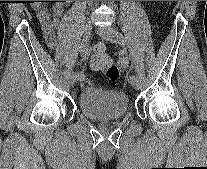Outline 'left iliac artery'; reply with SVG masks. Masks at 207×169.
I'll list each match as a JSON object with an SVG mask.
<instances>
[{
	"label": "left iliac artery",
	"mask_w": 207,
	"mask_h": 169,
	"mask_svg": "<svg viewBox=\"0 0 207 169\" xmlns=\"http://www.w3.org/2000/svg\"><path fill=\"white\" fill-rule=\"evenodd\" d=\"M127 54V49H122V53H119V58L118 59V64H119V68H128L129 64H128V57L126 56ZM131 69H125V74H131ZM137 78V76L135 74H132L129 77V80H133Z\"/></svg>",
	"instance_id": "obj_1"
}]
</instances>
